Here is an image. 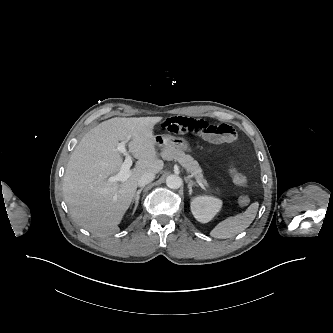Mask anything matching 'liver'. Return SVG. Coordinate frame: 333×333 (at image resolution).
Wrapping results in <instances>:
<instances>
[{
	"label": "liver",
	"mask_w": 333,
	"mask_h": 333,
	"mask_svg": "<svg viewBox=\"0 0 333 333\" xmlns=\"http://www.w3.org/2000/svg\"><path fill=\"white\" fill-rule=\"evenodd\" d=\"M162 117L112 118L90 129L71 154L63 178V196L73 220L99 237L119 231L126 210L146 172L157 174L164 162L157 157L154 126ZM137 159L124 182H109L120 171L118 141H129Z\"/></svg>",
	"instance_id": "6515ba94"
}]
</instances>
